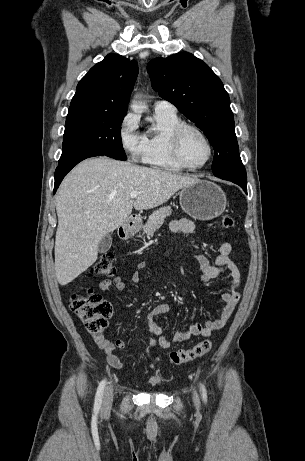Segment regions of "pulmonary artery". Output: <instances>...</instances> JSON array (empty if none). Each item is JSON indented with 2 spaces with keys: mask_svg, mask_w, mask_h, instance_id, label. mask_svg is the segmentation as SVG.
<instances>
[{
  "mask_svg": "<svg viewBox=\"0 0 305 461\" xmlns=\"http://www.w3.org/2000/svg\"><path fill=\"white\" fill-rule=\"evenodd\" d=\"M155 112L176 113L175 106L163 99H158L154 102Z\"/></svg>",
  "mask_w": 305,
  "mask_h": 461,
  "instance_id": "pulmonary-artery-1",
  "label": "pulmonary artery"
}]
</instances>
